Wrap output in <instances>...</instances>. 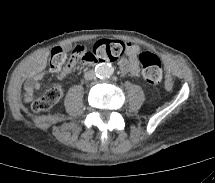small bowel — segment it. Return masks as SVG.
<instances>
[{
	"label": "small bowel",
	"mask_w": 215,
	"mask_h": 183,
	"mask_svg": "<svg viewBox=\"0 0 215 183\" xmlns=\"http://www.w3.org/2000/svg\"><path fill=\"white\" fill-rule=\"evenodd\" d=\"M137 52L138 47L136 45L130 43L127 44L128 58H123L119 62L120 73L122 76L128 74H138L139 65L136 60ZM76 64L77 63L72 58H70L68 64L63 69L55 72L60 76H64L70 72L76 66ZM44 68L45 62L43 59L38 60V62L32 68V71L24 85V98L26 101L31 100L35 93L41 88V80L46 74Z\"/></svg>",
	"instance_id": "obj_1"
}]
</instances>
